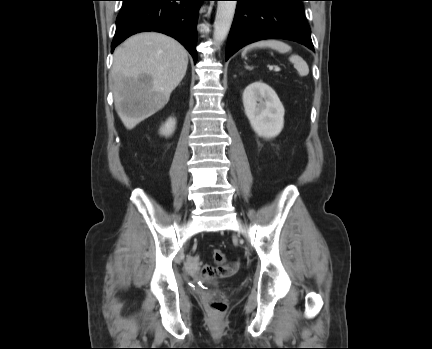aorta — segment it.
<instances>
[{
	"label": "aorta",
	"instance_id": "obj_1",
	"mask_svg": "<svg viewBox=\"0 0 432 349\" xmlns=\"http://www.w3.org/2000/svg\"><path fill=\"white\" fill-rule=\"evenodd\" d=\"M236 1H218L217 12L214 21L213 40L215 45H220L226 39L233 22Z\"/></svg>",
	"mask_w": 432,
	"mask_h": 349
}]
</instances>
